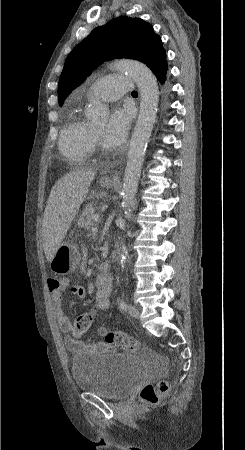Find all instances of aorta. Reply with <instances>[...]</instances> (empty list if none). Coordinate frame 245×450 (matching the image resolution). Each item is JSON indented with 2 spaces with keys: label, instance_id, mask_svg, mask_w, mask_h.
Wrapping results in <instances>:
<instances>
[{
  "label": "aorta",
  "instance_id": "1",
  "mask_svg": "<svg viewBox=\"0 0 245 450\" xmlns=\"http://www.w3.org/2000/svg\"><path fill=\"white\" fill-rule=\"evenodd\" d=\"M113 68L126 72L136 82L141 95L140 112L135 125L128 151L127 165L123 180V207L130 211L137 193L144 155L153 125L155 123L159 103V89L155 76L144 64L131 60H119ZM89 117L94 122H103L108 117V109L98 101L89 105ZM128 256L127 249H122L120 263L125 265Z\"/></svg>",
  "mask_w": 245,
  "mask_h": 450
}]
</instances>
